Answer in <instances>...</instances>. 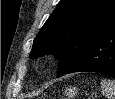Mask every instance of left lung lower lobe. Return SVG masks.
Listing matches in <instances>:
<instances>
[{"mask_svg":"<svg viewBox=\"0 0 115 99\" xmlns=\"http://www.w3.org/2000/svg\"><path fill=\"white\" fill-rule=\"evenodd\" d=\"M97 72L115 79V25L105 32L64 74Z\"/></svg>","mask_w":115,"mask_h":99,"instance_id":"1","label":"left lung lower lobe"}]
</instances>
